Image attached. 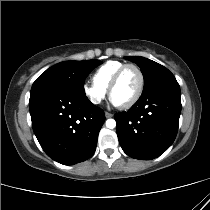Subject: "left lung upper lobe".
Wrapping results in <instances>:
<instances>
[{
	"label": "left lung upper lobe",
	"instance_id": "obj_1",
	"mask_svg": "<svg viewBox=\"0 0 210 210\" xmlns=\"http://www.w3.org/2000/svg\"><path fill=\"white\" fill-rule=\"evenodd\" d=\"M126 59L135 62L144 76L143 93L152 89L158 84L176 80L174 75L164 66L141 56H126Z\"/></svg>",
	"mask_w": 210,
	"mask_h": 210
}]
</instances>
